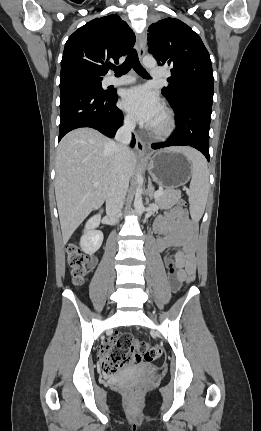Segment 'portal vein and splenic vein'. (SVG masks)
<instances>
[{
  "mask_svg": "<svg viewBox=\"0 0 261 431\" xmlns=\"http://www.w3.org/2000/svg\"><path fill=\"white\" fill-rule=\"evenodd\" d=\"M93 186H94V187H98V186H99V183L95 182V183L93 184ZM162 194H163V190H158V191H156V192H155L154 197H155V198H158V197H159V196H161Z\"/></svg>",
  "mask_w": 261,
  "mask_h": 431,
  "instance_id": "obj_1",
  "label": "portal vein and splenic vein"
}]
</instances>
